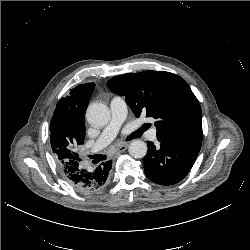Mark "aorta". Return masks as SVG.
Instances as JSON below:
<instances>
[{
    "instance_id": "1",
    "label": "aorta",
    "mask_w": 250,
    "mask_h": 250,
    "mask_svg": "<svg viewBox=\"0 0 250 250\" xmlns=\"http://www.w3.org/2000/svg\"><path fill=\"white\" fill-rule=\"evenodd\" d=\"M87 121L94 127H103L110 121V110L102 103L89 105L86 111ZM147 144L142 140H134L130 143L128 152L134 158H143L147 153Z\"/></svg>"
}]
</instances>
